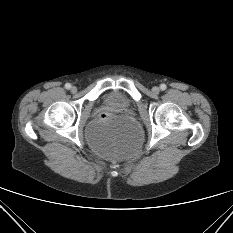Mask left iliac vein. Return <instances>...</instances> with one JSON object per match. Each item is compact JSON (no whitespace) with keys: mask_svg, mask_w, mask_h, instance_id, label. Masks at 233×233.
<instances>
[{"mask_svg":"<svg viewBox=\"0 0 233 233\" xmlns=\"http://www.w3.org/2000/svg\"><path fill=\"white\" fill-rule=\"evenodd\" d=\"M152 92L155 93V94H158L160 92V88L155 86L152 88Z\"/></svg>","mask_w":233,"mask_h":233,"instance_id":"obj_1","label":"left iliac vein"}]
</instances>
